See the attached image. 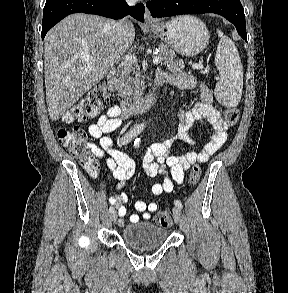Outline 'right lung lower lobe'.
Here are the masks:
<instances>
[{
  "label": "right lung lower lobe",
  "mask_w": 288,
  "mask_h": 293,
  "mask_svg": "<svg viewBox=\"0 0 288 293\" xmlns=\"http://www.w3.org/2000/svg\"><path fill=\"white\" fill-rule=\"evenodd\" d=\"M144 5L129 7L125 0H46L43 11L42 33H46L61 19L72 13L97 14L113 19H121L130 14L135 19L144 21Z\"/></svg>",
  "instance_id": "obj_1"
}]
</instances>
